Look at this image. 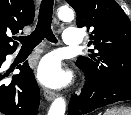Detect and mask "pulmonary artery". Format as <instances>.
I'll return each mask as SVG.
<instances>
[{
    "instance_id": "pulmonary-artery-1",
    "label": "pulmonary artery",
    "mask_w": 131,
    "mask_h": 115,
    "mask_svg": "<svg viewBox=\"0 0 131 115\" xmlns=\"http://www.w3.org/2000/svg\"><path fill=\"white\" fill-rule=\"evenodd\" d=\"M63 43L65 46H80L82 44V33L77 28H68L63 34Z\"/></svg>"
}]
</instances>
